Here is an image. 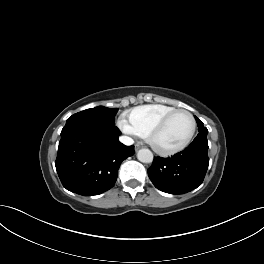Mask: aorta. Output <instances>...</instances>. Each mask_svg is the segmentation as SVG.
Returning <instances> with one entry per match:
<instances>
[{"mask_svg": "<svg viewBox=\"0 0 264 264\" xmlns=\"http://www.w3.org/2000/svg\"><path fill=\"white\" fill-rule=\"evenodd\" d=\"M137 159L142 163H151L153 161V153L146 148L140 149L137 153Z\"/></svg>", "mask_w": 264, "mask_h": 264, "instance_id": "1", "label": "aorta"}]
</instances>
